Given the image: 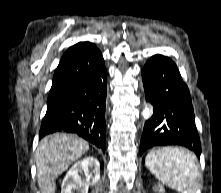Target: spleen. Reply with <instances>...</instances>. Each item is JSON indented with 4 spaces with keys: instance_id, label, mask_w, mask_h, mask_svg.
Returning a JSON list of instances; mask_svg holds the SVG:
<instances>
[{
    "instance_id": "obj_1",
    "label": "spleen",
    "mask_w": 221,
    "mask_h": 193,
    "mask_svg": "<svg viewBox=\"0 0 221 193\" xmlns=\"http://www.w3.org/2000/svg\"><path fill=\"white\" fill-rule=\"evenodd\" d=\"M146 167L168 187L195 193L198 166L193 153L170 146H155L146 156Z\"/></svg>"
}]
</instances>
